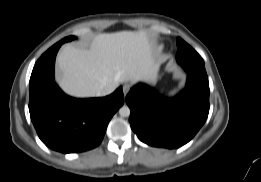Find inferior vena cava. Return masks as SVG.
Wrapping results in <instances>:
<instances>
[{"instance_id": "inferior-vena-cava-1", "label": "inferior vena cava", "mask_w": 261, "mask_h": 182, "mask_svg": "<svg viewBox=\"0 0 261 182\" xmlns=\"http://www.w3.org/2000/svg\"><path fill=\"white\" fill-rule=\"evenodd\" d=\"M113 91H114V89L112 87H106L99 92V95H108V94L112 93Z\"/></svg>"}]
</instances>
